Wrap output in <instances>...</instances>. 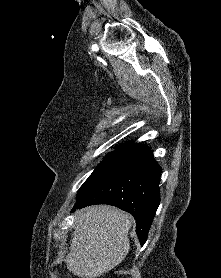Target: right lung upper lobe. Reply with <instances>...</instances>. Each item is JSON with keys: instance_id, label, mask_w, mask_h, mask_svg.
Instances as JSON below:
<instances>
[{"instance_id": "obj_1", "label": "right lung upper lobe", "mask_w": 221, "mask_h": 278, "mask_svg": "<svg viewBox=\"0 0 221 278\" xmlns=\"http://www.w3.org/2000/svg\"><path fill=\"white\" fill-rule=\"evenodd\" d=\"M124 146H129L131 148H134V149H144V148H147L146 146L144 145H141V144H133L131 142L127 143L126 145Z\"/></svg>"}]
</instances>
